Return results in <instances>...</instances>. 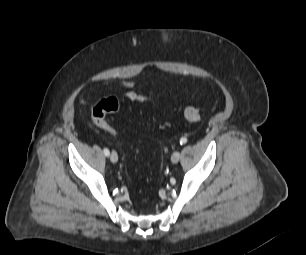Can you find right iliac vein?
Returning a JSON list of instances; mask_svg holds the SVG:
<instances>
[{"label": "right iliac vein", "instance_id": "obj_1", "mask_svg": "<svg viewBox=\"0 0 306 255\" xmlns=\"http://www.w3.org/2000/svg\"><path fill=\"white\" fill-rule=\"evenodd\" d=\"M110 160L113 163H116L118 161V155L115 151H112L110 154Z\"/></svg>", "mask_w": 306, "mask_h": 255}]
</instances>
